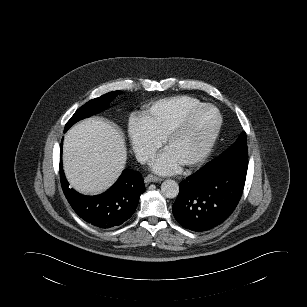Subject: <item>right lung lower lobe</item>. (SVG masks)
Masks as SVG:
<instances>
[{"mask_svg":"<svg viewBox=\"0 0 307 307\" xmlns=\"http://www.w3.org/2000/svg\"><path fill=\"white\" fill-rule=\"evenodd\" d=\"M61 154L62 145L60 157ZM60 175L63 192L73 210L84 221L101 229L114 228L127 221L145 191L142 175L131 169H125L110 189L96 196H84L69 188L61 158Z\"/></svg>","mask_w":307,"mask_h":307,"instance_id":"right-lung-lower-lobe-1","label":"right lung lower lobe"}]
</instances>
